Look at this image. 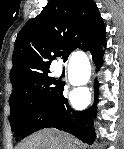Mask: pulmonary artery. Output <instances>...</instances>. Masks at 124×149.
<instances>
[{"instance_id":"pulmonary-artery-1","label":"pulmonary artery","mask_w":124,"mask_h":149,"mask_svg":"<svg viewBox=\"0 0 124 149\" xmlns=\"http://www.w3.org/2000/svg\"><path fill=\"white\" fill-rule=\"evenodd\" d=\"M60 74H61V71L57 70L56 75H60Z\"/></svg>"}]
</instances>
